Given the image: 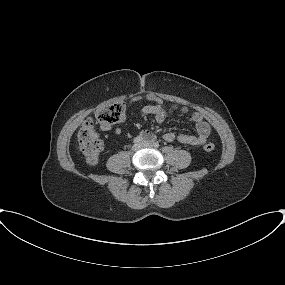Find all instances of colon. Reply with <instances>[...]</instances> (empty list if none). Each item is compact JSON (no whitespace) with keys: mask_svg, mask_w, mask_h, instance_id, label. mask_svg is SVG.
I'll use <instances>...</instances> for the list:
<instances>
[{"mask_svg":"<svg viewBox=\"0 0 285 285\" xmlns=\"http://www.w3.org/2000/svg\"><path fill=\"white\" fill-rule=\"evenodd\" d=\"M125 106L121 102L106 105L96 112V120L105 126L112 125L123 117ZM78 149L89 165H96L103 152L104 145L100 139L95 122L92 118H87L81 126L77 135ZM215 145L211 142L204 145V150L212 152Z\"/></svg>","mask_w":285,"mask_h":285,"instance_id":"5ec220e1","label":"colon"}]
</instances>
